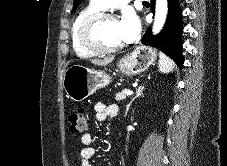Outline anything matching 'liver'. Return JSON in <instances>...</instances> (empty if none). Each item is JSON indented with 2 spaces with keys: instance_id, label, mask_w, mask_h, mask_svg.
Listing matches in <instances>:
<instances>
[{
  "instance_id": "1",
  "label": "liver",
  "mask_w": 227,
  "mask_h": 166,
  "mask_svg": "<svg viewBox=\"0 0 227 166\" xmlns=\"http://www.w3.org/2000/svg\"><path fill=\"white\" fill-rule=\"evenodd\" d=\"M113 57H107V58H104V59H92L90 60L91 63H93L94 65H97V66H106L108 64H110L112 61H113Z\"/></svg>"
}]
</instances>
